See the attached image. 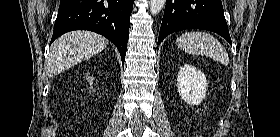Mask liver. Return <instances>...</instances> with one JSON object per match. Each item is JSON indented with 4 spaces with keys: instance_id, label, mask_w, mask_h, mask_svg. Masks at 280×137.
I'll return each instance as SVG.
<instances>
[{
    "instance_id": "obj_1",
    "label": "liver",
    "mask_w": 280,
    "mask_h": 137,
    "mask_svg": "<svg viewBox=\"0 0 280 137\" xmlns=\"http://www.w3.org/2000/svg\"><path fill=\"white\" fill-rule=\"evenodd\" d=\"M108 40L90 31H73L59 37L51 47L47 73L56 75L103 51Z\"/></svg>"
}]
</instances>
